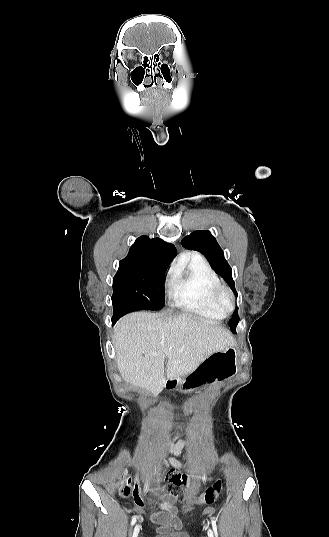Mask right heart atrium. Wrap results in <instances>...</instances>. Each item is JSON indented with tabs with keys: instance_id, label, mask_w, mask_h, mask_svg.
<instances>
[{
	"instance_id": "right-heart-atrium-1",
	"label": "right heart atrium",
	"mask_w": 329,
	"mask_h": 537,
	"mask_svg": "<svg viewBox=\"0 0 329 537\" xmlns=\"http://www.w3.org/2000/svg\"><path fill=\"white\" fill-rule=\"evenodd\" d=\"M173 274H174V271H173V270H170V271L168 272V276H169V279H168V284H169V285H170V283H171V280H172Z\"/></svg>"
}]
</instances>
